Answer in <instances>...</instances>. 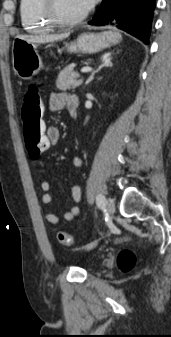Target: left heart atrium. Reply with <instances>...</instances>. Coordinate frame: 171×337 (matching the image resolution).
Returning <instances> with one entry per match:
<instances>
[{
  "label": "left heart atrium",
  "mask_w": 171,
  "mask_h": 337,
  "mask_svg": "<svg viewBox=\"0 0 171 337\" xmlns=\"http://www.w3.org/2000/svg\"><path fill=\"white\" fill-rule=\"evenodd\" d=\"M81 2L86 9H89L97 2V0H81Z\"/></svg>",
  "instance_id": "obj_1"
}]
</instances>
